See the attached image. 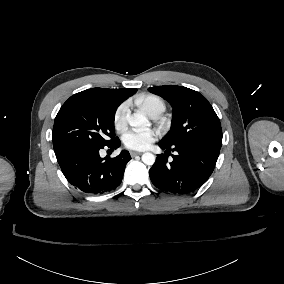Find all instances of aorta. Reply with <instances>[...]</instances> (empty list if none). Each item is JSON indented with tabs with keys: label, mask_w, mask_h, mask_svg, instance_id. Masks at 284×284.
<instances>
[{
	"label": "aorta",
	"mask_w": 284,
	"mask_h": 284,
	"mask_svg": "<svg viewBox=\"0 0 284 284\" xmlns=\"http://www.w3.org/2000/svg\"><path fill=\"white\" fill-rule=\"evenodd\" d=\"M128 122L133 127H140V126L148 125V120L146 116L141 112L134 113L133 115H131L128 119ZM142 161L146 165H153L155 163V156L150 152L144 153L142 155Z\"/></svg>",
	"instance_id": "1"
}]
</instances>
